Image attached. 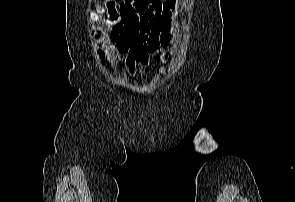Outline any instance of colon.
<instances>
[{"mask_svg":"<svg viewBox=\"0 0 295 202\" xmlns=\"http://www.w3.org/2000/svg\"><path fill=\"white\" fill-rule=\"evenodd\" d=\"M133 0H124L122 3H121V6H120V8H121V11L122 12H125V11H127L129 8H128V6H129V3H131ZM112 6H114L113 4H109V7H112Z\"/></svg>","mask_w":295,"mask_h":202,"instance_id":"obj_1","label":"colon"}]
</instances>
